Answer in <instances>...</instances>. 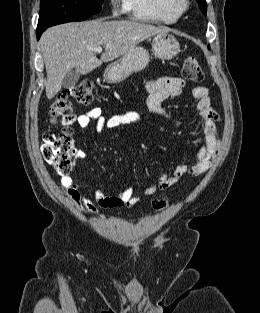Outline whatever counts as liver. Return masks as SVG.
Here are the masks:
<instances>
[{"mask_svg":"<svg viewBox=\"0 0 260 313\" xmlns=\"http://www.w3.org/2000/svg\"><path fill=\"white\" fill-rule=\"evenodd\" d=\"M166 27L138 21L72 22L48 28L40 39L47 81L46 96L52 99L60 91L65 75L72 69L86 75L103 62L113 61L145 39L168 33ZM103 46L100 59L93 49Z\"/></svg>","mask_w":260,"mask_h":313,"instance_id":"obj_1","label":"liver"}]
</instances>
